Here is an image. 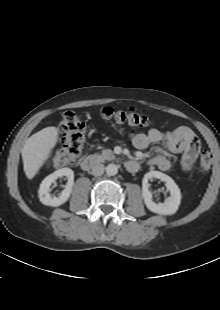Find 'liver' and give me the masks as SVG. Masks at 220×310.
<instances>
[{
	"label": "liver",
	"mask_w": 220,
	"mask_h": 310,
	"mask_svg": "<svg viewBox=\"0 0 220 310\" xmlns=\"http://www.w3.org/2000/svg\"><path fill=\"white\" fill-rule=\"evenodd\" d=\"M59 129L46 127L29 137L22 149V160L25 175L34 178L44 163L50 158L56 146Z\"/></svg>",
	"instance_id": "liver-1"
}]
</instances>
